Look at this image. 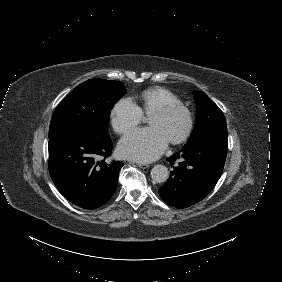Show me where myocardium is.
Segmentation results:
<instances>
[{
	"mask_svg": "<svg viewBox=\"0 0 282 282\" xmlns=\"http://www.w3.org/2000/svg\"><path fill=\"white\" fill-rule=\"evenodd\" d=\"M177 113L183 116L184 126L177 136L170 139V142L172 144H179L184 142L191 134L193 128V118L191 112L182 104L167 103L157 108L150 114V116L151 115L170 116Z\"/></svg>",
	"mask_w": 282,
	"mask_h": 282,
	"instance_id": "obj_1",
	"label": "myocardium"
}]
</instances>
